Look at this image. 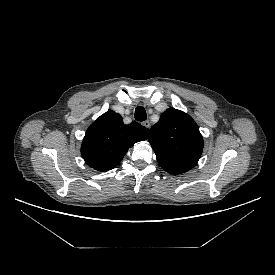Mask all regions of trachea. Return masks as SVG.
I'll return each instance as SVG.
<instances>
[{
    "instance_id": "1",
    "label": "trachea",
    "mask_w": 275,
    "mask_h": 275,
    "mask_svg": "<svg viewBox=\"0 0 275 275\" xmlns=\"http://www.w3.org/2000/svg\"><path fill=\"white\" fill-rule=\"evenodd\" d=\"M134 117H135V119L137 121H144V120H146L147 119V114H146L145 109L142 106H138L135 109Z\"/></svg>"
}]
</instances>
